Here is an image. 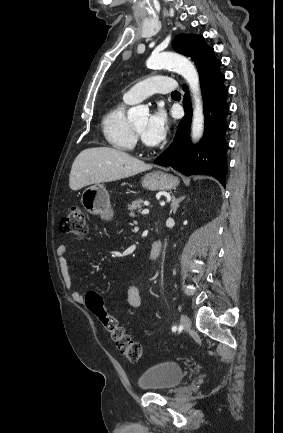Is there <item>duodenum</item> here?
Here are the masks:
<instances>
[{
    "label": "duodenum",
    "mask_w": 283,
    "mask_h": 433,
    "mask_svg": "<svg viewBox=\"0 0 283 433\" xmlns=\"http://www.w3.org/2000/svg\"><path fill=\"white\" fill-rule=\"evenodd\" d=\"M162 252V242L160 239H155L151 245L150 250V258L151 260L155 261L157 260Z\"/></svg>",
    "instance_id": "410a0bca"
}]
</instances>
